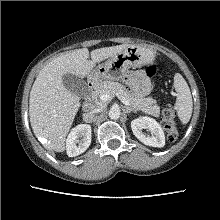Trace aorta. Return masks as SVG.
<instances>
[{"instance_id": "obj_1", "label": "aorta", "mask_w": 220, "mask_h": 220, "mask_svg": "<svg viewBox=\"0 0 220 220\" xmlns=\"http://www.w3.org/2000/svg\"><path fill=\"white\" fill-rule=\"evenodd\" d=\"M120 114H121V110L117 106H112L108 113L109 118L112 120L118 119L120 117Z\"/></svg>"}]
</instances>
